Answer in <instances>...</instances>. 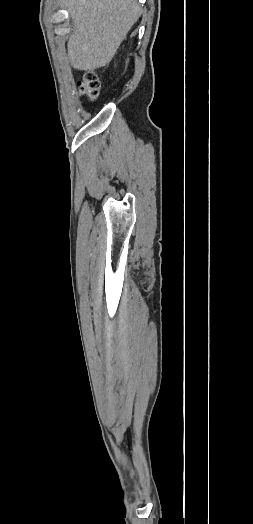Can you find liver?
Segmentation results:
<instances>
[{"instance_id": "1", "label": "liver", "mask_w": 253, "mask_h": 524, "mask_svg": "<svg viewBox=\"0 0 253 524\" xmlns=\"http://www.w3.org/2000/svg\"><path fill=\"white\" fill-rule=\"evenodd\" d=\"M63 6L74 26L68 59L83 71L109 64L141 14L137 0H63Z\"/></svg>"}]
</instances>
